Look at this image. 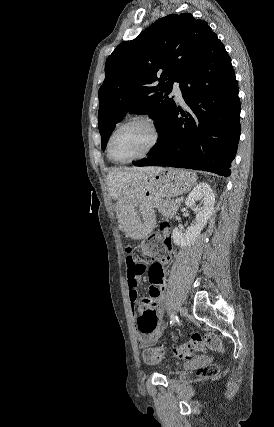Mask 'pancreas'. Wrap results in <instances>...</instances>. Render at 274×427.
<instances>
[{"instance_id": "obj_1", "label": "pancreas", "mask_w": 274, "mask_h": 427, "mask_svg": "<svg viewBox=\"0 0 274 427\" xmlns=\"http://www.w3.org/2000/svg\"><path fill=\"white\" fill-rule=\"evenodd\" d=\"M158 212L164 215V217H174L176 214L180 204H176L174 200H160L158 204H156Z\"/></svg>"}]
</instances>
